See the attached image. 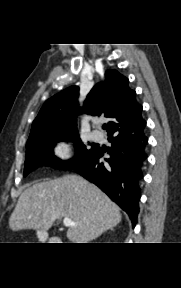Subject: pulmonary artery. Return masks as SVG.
Instances as JSON below:
<instances>
[{"mask_svg": "<svg viewBox=\"0 0 181 288\" xmlns=\"http://www.w3.org/2000/svg\"><path fill=\"white\" fill-rule=\"evenodd\" d=\"M91 137L93 140L95 141H101L103 140V134L101 131L99 130H93L92 133H91Z\"/></svg>", "mask_w": 181, "mask_h": 288, "instance_id": "obj_1", "label": "pulmonary artery"}]
</instances>
